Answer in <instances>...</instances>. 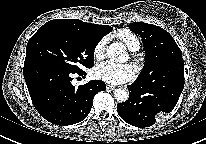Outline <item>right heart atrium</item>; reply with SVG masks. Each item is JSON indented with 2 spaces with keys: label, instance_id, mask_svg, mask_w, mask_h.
Segmentation results:
<instances>
[{
  "label": "right heart atrium",
  "instance_id": "obj_1",
  "mask_svg": "<svg viewBox=\"0 0 206 144\" xmlns=\"http://www.w3.org/2000/svg\"><path fill=\"white\" fill-rule=\"evenodd\" d=\"M107 39L102 38L98 43L95 45L93 50V55L95 59L100 60L105 55V47H106Z\"/></svg>",
  "mask_w": 206,
  "mask_h": 144
}]
</instances>
